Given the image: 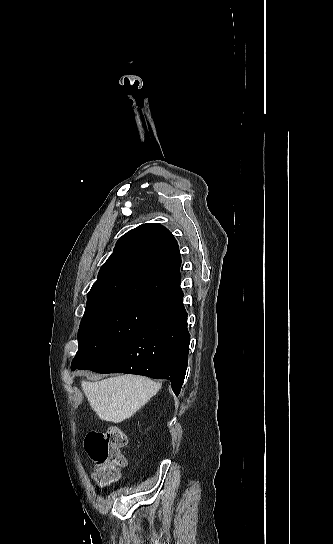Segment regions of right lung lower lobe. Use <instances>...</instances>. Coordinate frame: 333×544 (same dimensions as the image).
<instances>
[{
	"mask_svg": "<svg viewBox=\"0 0 333 544\" xmlns=\"http://www.w3.org/2000/svg\"><path fill=\"white\" fill-rule=\"evenodd\" d=\"M189 342L187 313L181 297L127 341L71 369L163 378L171 382L173 392L178 395L186 374Z\"/></svg>",
	"mask_w": 333,
	"mask_h": 544,
	"instance_id": "1",
	"label": "right lung lower lobe"
}]
</instances>
